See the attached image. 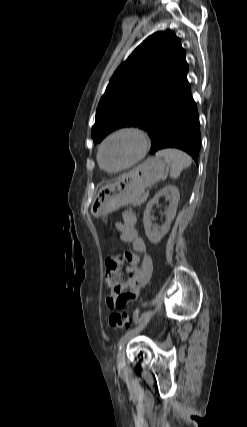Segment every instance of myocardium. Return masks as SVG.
Wrapping results in <instances>:
<instances>
[{
	"instance_id": "myocardium-1",
	"label": "myocardium",
	"mask_w": 247,
	"mask_h": 427,
	"mask_svg": "<svg viewBox=\"0 0 247 427\" xmlns=\"http://www.w3.org/2000/svg\"><path fill=\"white\" fill-rule=\"evenodd\" d=\"M122 134H132V135H134V136H136L138 138L139 143H140L139 152H138L137 156L132 161H130L129 163L125 164L124 166L119 167L117 169H113V170L107 169V168H105V166L103 165V162H102V158H101L102 150H103L104 146L110 140H112L113 138H115V137H117L119 135H122ZM149 146H150L149 137H148L147 133L143 129H141L139 127H136V126H123V127L115 129L114 131H112L111 133H109L102 140V142H101V144L99 145V148H98L97 159H98L100 167L104 171L109 172V173H117V172L126 170V169H128V168L136 165L137 163H139L145 157V155L147 154Z\"/></svg>"
}]
</instances>
